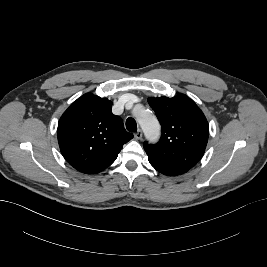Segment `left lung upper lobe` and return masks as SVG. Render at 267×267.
<instances>
[{"label":"left lung upper lobe","mask_w":267,"mask_h":267,"mask_svg":"<svg viewBox=\"0 0 267 267\" xmlns=\"http://www.w3.org/2000/svg\"><path fill=\"white\" fill-rule=\"evenodd\" d=\"M162 126L160 141L144 143L150 164L189 170L202 158L209 136L203 112L186 95L149 98Z\"/></svg>","instance_id":"5c2ea615"}]
</instances>
